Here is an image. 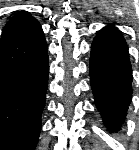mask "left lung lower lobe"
Wrapping results in <instances>:
<instances>
[{
  "instance_id": "obj_1",
  "label": "left lung lower lobe",
  "mask_w": 139,
  "mask_h": 150,
  "mask_svg": "<svg viewBox=\"0 0 139 150\" xmlns=\"http://www.w3.org/2000/svg\"><path fill=\"white\" fill-rule=\"evenodd\" d=\"M90 78L95 104L109 131L120 130L132 99V69L121 31L100 30L91 46Z\"/></svg>"
}]
</instances>
